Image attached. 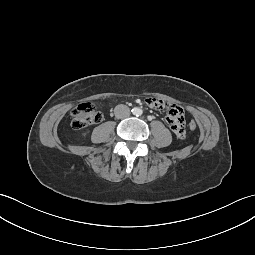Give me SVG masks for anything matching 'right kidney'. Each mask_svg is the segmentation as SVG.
I'll use <instances>...</instances> for the list:
<instances>
[{
    "label": "right kidney",
    "instance_id": "1",
    "mask_svg": "<svg viewBox=\"0 0 255 255\" xmlns=\"http://www.w3.org/2000/svg\"><path fill=\"white\" fill-rule=\"evenodd\" d=\"M82 135H83V136H85V135H86V133H83Z\"/></svg>",
    "mask_w": 255,
    "mask_h": 255
}]
</instances>
